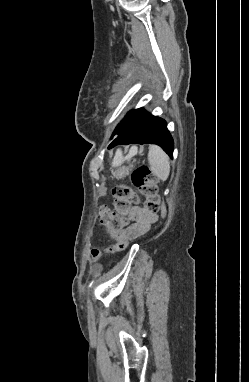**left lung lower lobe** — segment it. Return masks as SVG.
Returning a JSON list of instances; mask_svg holds the SVG:
<instances>
[{
  "label": "left lung lower lobe",
  "mask_w": 249,
  "mask_h": 382,
  "mask_svg": "<svg viewBox=\"0 0 249 382\" xmlns=\"http://www.w3.org/2000/svg\"><path fill=\"white\" fill-rule=\"evenodd\" d=\"M131 143L138 144H156L159 145L170 157H173L174 143L167 129L165 120L145 114L127 131L119 133L109 145L112 148L116 145H127Z\"/></svg>",
  "instance_id": "1"
}]
</instances>
